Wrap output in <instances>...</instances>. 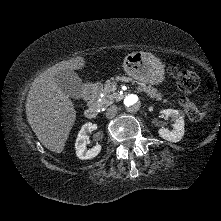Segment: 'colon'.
<instances>
[{
    "mask_svg": "<svg viewBox=\"0 0 221 221\" xmlns=\"http://www.w3.org/2000/svg\"><path fill=\"white\" fill-rule=\"evenodd\" d=\"M168 73L176 80L177 87L182 93L179 98V104L188 117L193 121L203 120L206 117L205 110L197 107L187 94L197 90L200 85L209 88L207 80L200 79L195 72L185 68L182 64L177 62H172L168 65Z\"/></svg>",
    "mask_w": 221,
    "mask_h": 221,
    "instance_id": "colon-1",
    "label": "colon"
}]
</instances>
